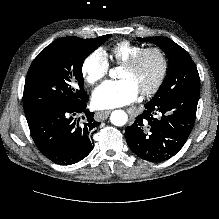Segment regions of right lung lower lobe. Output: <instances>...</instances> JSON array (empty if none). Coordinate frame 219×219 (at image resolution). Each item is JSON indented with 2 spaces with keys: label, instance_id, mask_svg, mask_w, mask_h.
Wrapping results in <instances>:
<instances>
[{
  "label": "right lung lower lobe",
  "instance_id": "98d812e1",
  "mask_svg": "<svg viewBox=\"0 0 219 219\" xmlns=\"http://www.w3.org/2000/svg\"><path fill=\"white\" fill-rule=\"evenodd\" d=\"M87 101L88 97L77 104L49 103L25 113L36 146L53 162L74 164L94 148L92 134L100 122L85 109ZM80 114H85L84 121Z\"/></svg>",
  "mask_w": 219,
  "mask_h": 219
}]
</instances>
